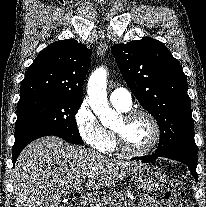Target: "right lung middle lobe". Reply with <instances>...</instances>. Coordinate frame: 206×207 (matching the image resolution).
<instances>
[{
  "mask_svg": "<svg viewBox=\"0 0 206 207\" xmlns=\"http://www.w3.org/2000/svg\"><path fill=\"white\" fill-rule=\"evenodd\" d=\"M81 104L82 100L48 95L19 100L13 150L47 135L83 144L75 120Z\"/></svg>",
  "mask_w": 206,
  "mask_h": 207,
  "instance_id": "dd1d6c3e",
  "label": "right lung middle lobe"
}]
</instances>
